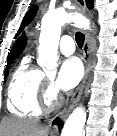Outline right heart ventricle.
Wrapping results in <instances>:
<instances>
[{"mask_svg": "<svg viewBox=\"0 0 117 136\" xmlns=\"http://www.w3.org/2000/svg\"><path fill=\"white\" fill-rule=\"evenodd\" d=\"M43 72L24 57L15 69L7 89L8 110L18 116L39 118L42 114L40 91Z\"/></svg>", "mask_w": 117, "mask_h": 136, "instance_id": "obj_1", "label": "right heart ventricle"}]
</instances>
